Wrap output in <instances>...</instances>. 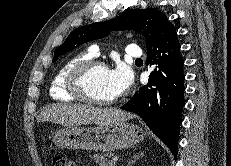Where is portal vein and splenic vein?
I'll return each instance as SVG.
<instances>
[{
	"mask_svg": "<svg viewBox=\"0 0 231 166\" xmlns=\"http://www.w3.org/2000/svg\"><path fill=\"white\" fill-rule=\"evenodd\" d=\"M111 161L114 162V163H116V161H118V158L117 157H113Z\"/></svg>",
	"mask_w": 231,
	"mask_h": 166,
	"instance_id": "18ae733b",
	"label": "portal vein and splenic vein"
}]
</instances>
